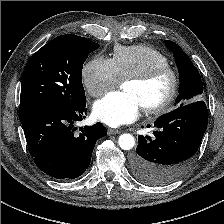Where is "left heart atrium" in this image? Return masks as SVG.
Listing matches in <instances>:
<instances>
[{
    "instance_id": "left-heart-atrium-1",
    "label": "left heart atrium",
    "mask_w": 224,
    "mask_h": 224,
    "mask_svg": "<svg viewBox=\"0 0 224 224\" xmlns=\"http://www.w3.org/2000/svg\"><path fill=\"white\" fill-rule=\"evenodd\" d=\"M142 109L139 98L130 92H111L94 103L96 118L103 123L118 127L137 119Z\"/></svg>"
}]
</instances>
